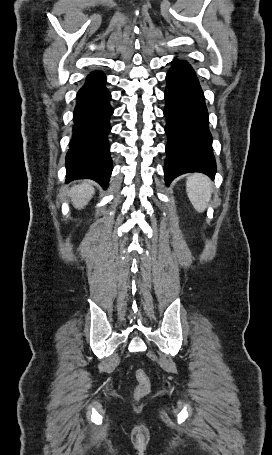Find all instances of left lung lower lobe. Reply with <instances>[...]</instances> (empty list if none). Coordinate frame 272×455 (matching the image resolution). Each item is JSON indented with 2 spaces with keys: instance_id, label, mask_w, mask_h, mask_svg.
<instances>
[{
  "instance_id": "left-lung-lower-lobe-1",
  "label": "left lung lower lobe",
  "mask_w": 272,
  "mask_h": 455,
  "mask_svg": "<svg viewBox=\"0 0 272 455\" xmlns=\"http://www.w3.org/2000/svg\"><path fill=\"white\" fill-rule=\"evenodd\" d=\"M165 132L168 136L165 180L187 172L216 173L204 94L193 68L176 58L166 75Z\"/></svg>"
}]
</instances>
